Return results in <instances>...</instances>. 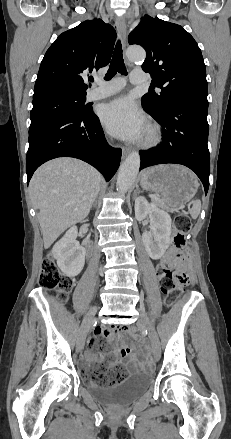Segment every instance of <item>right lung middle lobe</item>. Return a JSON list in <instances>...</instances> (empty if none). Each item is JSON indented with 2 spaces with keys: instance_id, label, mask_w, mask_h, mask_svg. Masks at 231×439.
Returning <instances> with one entry per match:
<instances>
[{
  "instance_id": "obj_1",
  "label": "right lung middle lobe",
  "mask_w": 231,
  "mask_h": 439,
  "mask_svg": "<svg viewBox=\"0 0 231 439\" xmlns=\"http://www.w3.org/2000/svg\"><path fill=\"white\" fill-rule=\"evenodd\" d=\"M86 94L50 93L33 98L31 125L70 114H86L92 108L85 104Z\"/></svg>"
}]
</instances>
